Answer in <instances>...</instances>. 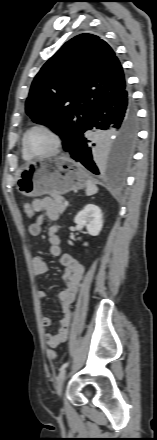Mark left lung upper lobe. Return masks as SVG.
Segmentation results:
<instances>
[{
	"label": "left lung upper lobe",
	"instance_id": "5c2ea615",
	"mask_svg": "<svg viewBox=\"0 0 157 440\" xmlns=\"http://www.w3.org/2000/svg\"><path fill=\"white\" fill-rule=\"evenodd\" d=\"M125 88L124 72L112 48L96 35L80 34L35 76L26 113L36 123L52 125L68 151L94 111Z\"/></svg>",
	"mask_w": 157,
	"mask_h": 440
}]
</instances>
